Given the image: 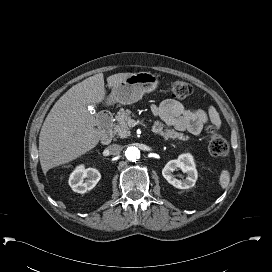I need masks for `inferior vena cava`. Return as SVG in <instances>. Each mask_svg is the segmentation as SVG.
Returning <instances> with one entry per match:
<instances>
[{"label": "inferior vena cava", "instance_id": "1", "mask_svg": "<svg viewBox=\"0 0 272 272\" xmlns=\"http://www.w3.org/2000/svg\"><path fill=\"white\" fill-rule=\"evenodd\" d=\"M122 151V146L118 144H111L108 146V152L110 155H118Z\"/></svg>", "mask_w": 272, "mask_h": 272}]
</instances>
